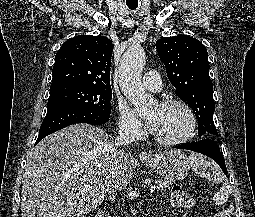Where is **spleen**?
<instances>
[{
	"instance_id": "obj_1",
	"label": "spleen",
	"mask_w": 255,
	"mask_h": 217,
	"mask_svg": "<svg viewBox=\"0 0 255 217\" xmlns=\"http://www.w3.org/2000/svg\"><path fill=\"white\" fill-rule=\"evenodd\" d=\"M190 161L193 170L197 174L206 178H210L216 182H223L217 198L220 204L226 202L228 200L229 194L231 193V189L230 186L224 182V177L218 165L212 160L199 154H191Z\"/></svg>"
}]
</instances>
